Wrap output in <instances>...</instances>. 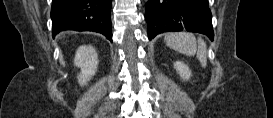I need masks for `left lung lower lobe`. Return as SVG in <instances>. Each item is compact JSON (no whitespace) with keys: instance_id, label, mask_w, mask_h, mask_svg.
I'll use <instances>...</instances> for the list:
<instances>
[{"instance_id":"0a47b994","label":"left lung lower lobe","mask_w":273,"mask_h":118,"mask_svg":"<svg viewBox=\"0 0 273 118\" xmlns=\"http://www.w3.org/2000/svg\"><path fill=\"white\" fill-rule=\"evenodd\" d=\"M145 19L150 40L165 31L182 30L214 38L208 0H148Z\"/></svg>"}]
</instances>
